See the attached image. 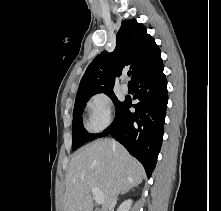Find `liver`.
<instances>
[{"label":"liver","instance_id":"1","mask_svg":"<svg viewBox=\"0 0 221 211\" xmlns=\"http://www.w3.org/2000/svg\"><path fill=\"white\" fill-rule=\"evenodd\" d=\"M142 165L119 143L99 139L74 153L66 174L64 211H92L91 189L104 194L101 211L112 208V197L140 184Z\"/></svg>","mask_w":221,"mask_h":211}]
</instances>
